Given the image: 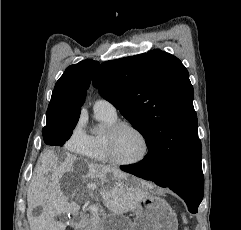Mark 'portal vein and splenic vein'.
Segmentation results:
<instances>
[{
  "label": "portal vein and splenic vein",
  "mask_w": 241,
  "mask_h": 230,
  "mask_svg": "<svg viewBox=\"0 0 241 230\" xmlns=\"http://www.w3.org/2000/svg\"><path fill=\"white\" fill-rule=\"evenodd\" d=\"M97 210H98L97 207H95V206L91 207V211H92L93 216H96Z\"/></svg>",
  "instance_id": "portal-vein-and-splenic-vein-1"
}]
</instances>
